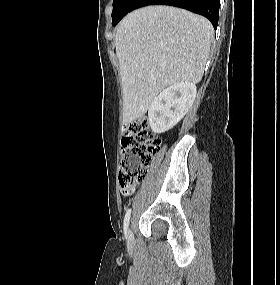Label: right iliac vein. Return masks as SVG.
<instances>
[{
  "label": "right iliac vein",
  "mask_w": 280,
  "mask_h": 285,
  "mask_svg": "<svg viewBox=\"0 0 280 285\" xmlns=\"http://www.w3.org/2000/svg\"><path fill=\"white\" fill-rule=\"evenodd\" d=\"M126 238L128 245L131 246L133 244V233L130 229L126 233Z\"/></svg>",
  "instance_id": "1"
}]
</instances>
